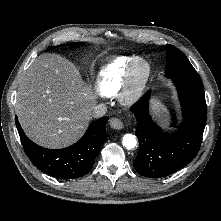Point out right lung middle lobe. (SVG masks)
I'll list each match as a JSON object with an SVG mask.
<instances>
[{
  "label": "right lung middle lobe",
  "instance_id": "right-lung-middle-lobe-1",
  "mask_svg": "<svg viewBox=\"0 0 221 221\" xmlns=\"http://www.w3.org/2000/svg\"><path fill=\"white\" fill-rule=\"evenodd\" d=\"M80 44H81V42H78V43H68L67 45L70 46V47H75V46H79ZM61 46H63V45H61ZM52 48H53V46L49 47L48 50L52 49Z\"/></svg>",
  "mask_w": 221,
  "mask_h": 221
}]
</instances>
